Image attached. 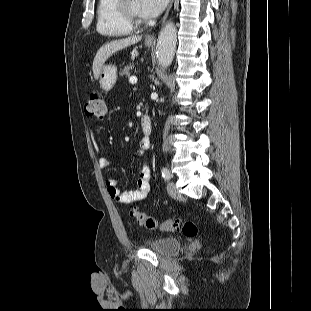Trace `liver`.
Masks as SVG:
<instances>
[{
  "mask_svg": "<svg viewBox=\"0 0 311 311\" xmlns=\"http://www.w3.org/2000/svg\"><path fill=\"white\" fill-rule=\"evenodd\" d=\"M142 36L135 35L130 36L127 38L119 39L111 41L110 43H107L106 45L102 46L98 52L96 53V56L93 61V75L95 79H98L99 73L105 63V61L115 52L120 51L128 46H131L139 41H141Z\"/></svg>",
  "mask_w": 311,
  "mask_h": 311,
  "instance_id": "liver-1",
  "label": "liver"
}]
</instances>
